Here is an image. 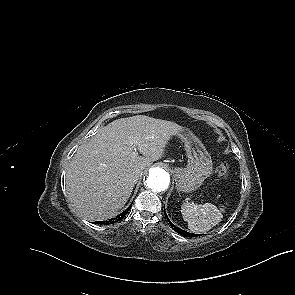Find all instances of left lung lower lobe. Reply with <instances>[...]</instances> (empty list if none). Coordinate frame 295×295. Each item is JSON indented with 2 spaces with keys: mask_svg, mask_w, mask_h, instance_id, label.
Wrapping results in <instances>:
<instances>
[{
  "mask_svg": "<svg viewBox=\"0 0 295 295\" xmlns=\"http://www.w3.org/2000/svg\"><path fill=\"white\" fill-rule=\"evenodd\" d=\"M164 214H165V216H166L165 211H164ZM166 217H167V216H166ZM168 222L170 223V225H171V227L173 228V230L176 231L178 234H180V235H182V236H185V237H193V236L195 237V236H197V235H195V234L189 233V232H187V231H184V230H182V229L176 227L175 225H173V224L170 222L169 219H168Z\"/></svg>",
  "mask_w": 295,
  "mask_h": 295,
  "instance_id": "obj_1",
  "label": "left lung lower lobe"
}]
</instances>
